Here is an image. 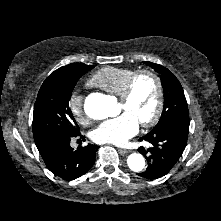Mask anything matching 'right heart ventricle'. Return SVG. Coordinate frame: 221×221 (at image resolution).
<instances>
[{
    "mask_svg": "<svg viewBox=\"0 0 221 221\" xmlns=\"http://www.w3.org/2000/svg\"><path fill=\"white\" fill-rule=\"evenodd\" d=\"M134 72V70L129 68L105 67L94 73L89 79L88 84L119 96L126 81Z\"/></svg>",
    "mask_w": 221,
    "mask_h": 221,
    "instance_id": "obj_1",
    "label": "right heart ventricle"
}]
</instances>
